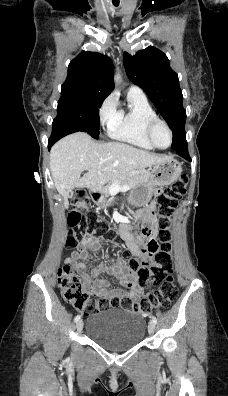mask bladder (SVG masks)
I'll return each mask as SVG.
<instances>
[{"label":"bladder","instance_id":"31cf9c89","mask_svg":"<svg viewBox=\"0 0 228 396\" xmlns=\"http://www.w3.org/2000/svg\"><path fill=\"white\" fill-rule=\"evenodd\" d=\"M86 334L106 349L128 350L145 338L146 321L141 314L129 310H101L89 316Z\"/></svg>","mask_w":228,"mask_h":396}]
</instances>
